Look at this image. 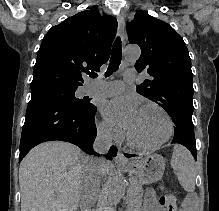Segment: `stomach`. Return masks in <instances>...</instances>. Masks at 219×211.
<instances>
[{
    "mask_svg": "<svg viewBox=\"0 0 219 211\" xmlns=\"http://www.w3.org/2000/svg\"><path fill=\"white\" fill-rule=\"evenodd\" d=\"M121 169L136 175L140 183L150 184L162 178L165 170V160L159 154H147L121 165Z\"/></svg>",
    "mask_w": 219,
    "mask_h": 211,
    "instance_id": "obj_1",
    "label": "stomach"
}]
</instances>
